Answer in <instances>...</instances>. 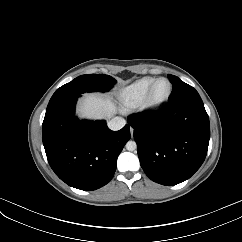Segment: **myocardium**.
Returning <instances> with one entry per match:
<instances>
[{
  "instance_id": "myocardium-1",
  "label": "myocardium",
  "mask_w": 242,
  "mask_h": 242,
  "mask_svg": "<svg viewBox=\"0 0 242 242\" xmlns=\"http://www.w3.org/2000/svg\"><path fill=\"white\" fill-rule=\"evenodd\" d=\"M161 80H165V81L168 82L169 90L164 97H162L160 99H156L153 96L154 88H155L156 84ZM172 91H173V86H172L171 81L168 78H166V77L156 78L153 81V83L151 84V86H150V88H149V90H148V92H147V94H146V96H145V98L142 102V108L144 110H155V109L162 107L170 99V97L172 95Z\"/></svg>"
}]
</instances>
